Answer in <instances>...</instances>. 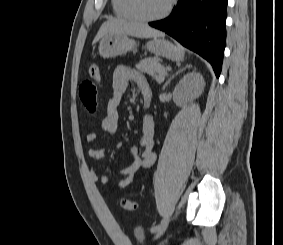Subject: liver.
Segmentation results:
<instances>
[{
	"mask_svg": "<svg viewBox=\"0 0 283 245\" xmlns=\"http://www.w3.org/2000/svg\"><path fill=\"white\" fill-rule=\"evenodd\" d=\"M111 33H121L139 38L161 37L164 34L146 24L110 19L103 23L93 40V44Z\"/></svg>",
	"mask_w": 283,
	"mask_h": 245,
	"instance_id": "1",
	"label": "liver"
}]
</instances>
